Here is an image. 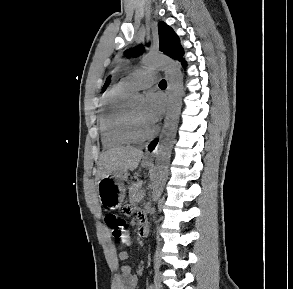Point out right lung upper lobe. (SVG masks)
Here are the masks:
<instances>
[{"label":"right lung upper lobe","instance_id":"1","mask_svg":"<svg viewBox=\"0 0 293 289\" xmlns=\"http://www.w3.org/2000/svg\"><path fill=\"white\" fill-rule=\"evenodd\" d=\"M109 81H110V78H108V79H107V81H106V83H105V85H104V88H103V90H105V88L107 87V85H108Z\"/></svg>","mask_w":293,"mask_h":289}]
</instances>
